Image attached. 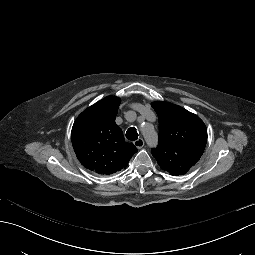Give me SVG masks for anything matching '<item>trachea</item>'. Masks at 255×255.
Returning <instances> with one entry per match:
<instances>
[{
  "label": "trachea",
  "mask_w": 255,
  "mask_h": 255,
  "mask_svg": "<svg viewBox=\"0 0 255 255\" xmlns=\"http://www.w3.org/2000/svg\"><path fill=\"white\" fill-rule=\"evenodd\" d=\"M126 138L131 141L137 140L138 132L133 127H130L126 132Z\"/></svg>",
  "instance_id": "3493384b"
}]
</instances>
